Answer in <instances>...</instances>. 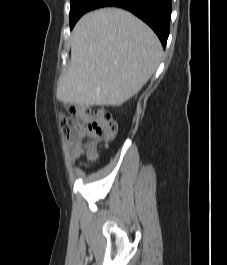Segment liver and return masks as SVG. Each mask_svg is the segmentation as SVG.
<instances>
[{
  "label": "liver",
  "mask_w": 227,
  "mask_h": 265,
  "mask_svg": "<svg viewBox=\"0 0 227 265\" xmlns=\"http://www.w3.org/2000/svg\"><path fill=\"white\" fill-rule=\"evenodd\" d=\"M162 52L156 34L133 14L117 8L87 13L72 31L71 62L59 79L57 99L121 105L147 83Z\"/></svg>",
  "instance_id": "1"
}]
</instances>
